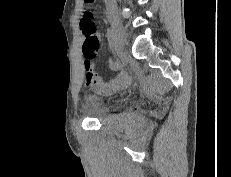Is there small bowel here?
<instances>
[{"label": "small bowel", "mask_w": 231, "mask_h": 177, "mask_svg": "<svg viewBox=\"0 0 231 177\" xmlns=\"http://www.w3.org/2000/svg\"><path fill=\"white\" fill-rule=\"evenodd\" d=\"M85 79L87 85L95 88L102 94L108 95L115 91L126 88L131 83V78L127 72L122 71L111 81L105 83L94 72L92 61H88L84 58Z\"/></svg>", "instance_id": "obj_1"}]
</instances>
